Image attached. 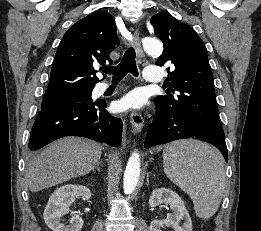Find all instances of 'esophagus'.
<instances>
[{
  "label": "esophagus",
  "mask_w": 261,
  "mask_h": 231,
  "mask_svg": "<svg viewBox=\"0 0 261 231\" xmlns=\"http://www.w3.org/2000/svg\"><path fill=\"white\" fill-rule=\"evenodd\" d=\"M131 45L134 47L138 57H143V50L139 41V32L137 29L133 30V38L131 39ZM133 131L139 133L144 126V119L142 115L137 111H132L130 116Z\"/></svg>",
  "instance_id": "esophagus-1"
}]
</instances>
